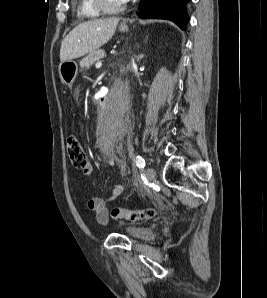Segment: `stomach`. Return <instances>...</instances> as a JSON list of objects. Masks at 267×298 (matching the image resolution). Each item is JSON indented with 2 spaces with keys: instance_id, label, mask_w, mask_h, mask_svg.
I'll use <instances>...</instances> for the list:
<instances>
[{
  "instance_id": "1",
  "label": "stomach",
  "mask_w": 267,
  "mask_h": 298,
  "mask_svg": "<svg viewBox=\"0 0 267 298\" xmlns=\"http://www.w3.org/2000/svg\"><path fill=\"white\" fill-rule=\"evenodd\" d=\"M120 32H128L129 28L125 25H120L119 27ZM59 76L61 81L70 86L73 84L77 72H78V65L75 61L69 60L65 62H61L59 65Z\"/></svg>"
}]
</instances>
